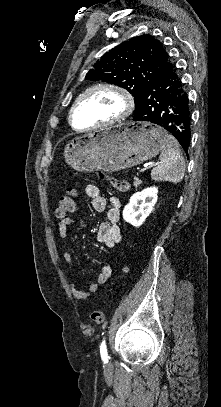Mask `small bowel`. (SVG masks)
I'll return each instance as SVG.
<instances>
[{
    "mask_svg": "<svg viewBox=\"0 0 221 407\" xmlns=\"http://www.w3.org/2000/svg\"><path fill=\"white\" fill-rule=\"evenodd\" d=\"M85 193L90 200L91 206L98 212L106 211L107 222L102 223L98 233L97 241L106 247H113L121 240V230L118 226L120 220V201L117 197L111 196L108 200L102 194L100 188L96 185H88L85 187ZM73 223V219H62L58 223V234L63 241L68 240L69 226ZM65 262V277L69 285L72 287V293L75 299L84 300L98 291L99 286L104 285L112 276V269L109 265H103L96 281L87 289L77 287L74 277L69 270L72 267V256L66 251L63 253ZM84 326V325H83Z\"/></svg>",
    "mask_w": 221,
    "mask_h": 407,
    "instance_id": "1",
    "label": "small bowel"
}]
</instances>
